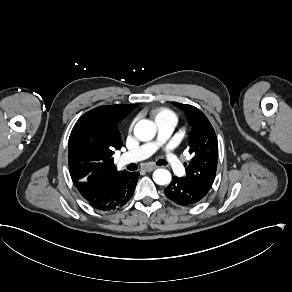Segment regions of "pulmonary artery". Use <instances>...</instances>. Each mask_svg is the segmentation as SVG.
<instances>
[{"instance_id":"1","label":"pulmonary artery","mask_w":292,"mask_h":292,"mask_svg":"<svg viewBox=\"0 0 292 292\" xmlns=\"http://www.w3.org/2000/svg\"><path fill=\"white\" fill-rule=\"evenodd\" d=\"M177 121L178 120L175 116H170L167 113L160 114L157 118L159 126L157 135L151 142L143 145L141 148H135L132 152L133 157L137 160H140L143 157L148 158L161 149V156L168 163V165L176 171L181 170L184 163L169 146L172 142L170 133L176 127ZM126 157L127 155L121 156L119 163L124 164Z\"/></svg>"}]
</instances>
